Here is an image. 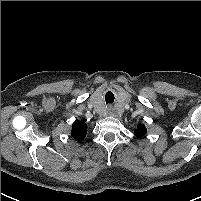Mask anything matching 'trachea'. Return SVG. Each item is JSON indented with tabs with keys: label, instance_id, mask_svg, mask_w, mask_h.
<instances>
[{
	"label": "trachea",
	"instance_id": "3493384b",
	"mask_svg": "<svg viewBox=\"0 0 201 201\" xmlns=\"http://www.w3.org/2000/svg\"><path fill=\"white\" fill-rule=\"evenodd\" d=\"M105 100H106V103H107V104H108V103H112V102L114 101V96H113V98H112V100H111V99L109 98L108 94H107Z\"/></svg>",
	"mask_w": 201,
	"mask_h": 201
}]
</instances>
